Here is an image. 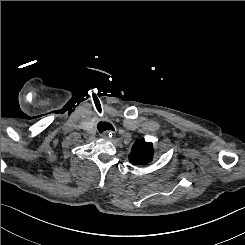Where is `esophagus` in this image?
Here are the masks:
<instances>
[{
	"instance_id": "1",
	"label": "esophagus",
	"mask_w": 245,
	"mask_h": 245,
	"mask_svg": "<svg viewBox=\"0 0 245 245\" xmlns=\"http://www.w3.org/2000/svg\"><path fill=\"white\" fill-rule=\"evenodd\" d=\"M112 134V132H103L102 134H101V137L102 138H108L110 135Z\"/></svg>"
}]
</instances>
